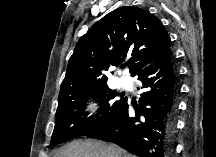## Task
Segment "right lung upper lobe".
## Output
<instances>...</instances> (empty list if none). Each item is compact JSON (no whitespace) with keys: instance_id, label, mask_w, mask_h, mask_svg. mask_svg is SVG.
<instances>
[{"instance_id":"1","label":"right lung upper lobe","mask_w":216,"mask_h":157,"mask_svg":"<svg viewBox=\"0 0 216 157\" xmlns=\"http://www.w3.org/2000/svg\"><path fill=\"white\" fill-rule=\"evenodd\" d=\"M162 22L149 11L123 6L105 15L78 41L61 83L59 98L107 87L102 71L119 66L130 56V73L157 61L170 50Z\"/></svg>"}]
</instances>
